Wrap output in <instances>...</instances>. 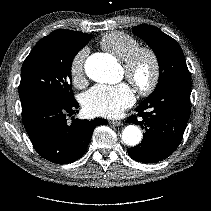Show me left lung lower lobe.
Here are the masks:
<instances>
[{"instance_id": "left-lung-lower-lobe-1", "label": "left lung lower lobe", "mask_w": 211, "mask_h": 211, "mask_svg": "<svg viewBox=\"0 0 211 211\" xmlns=\"http://www.w3.org/2000/svg\"><path fill=\"white\" fill-rule=\"evenodd\" d=\"M191 79L167 84L147 97L127 121L146 130L142 142L128 149L139 162L155 163L169 157L180 144L190 115ZM137 117H141L140 121Z\"/></svg>"}]
</instances>
